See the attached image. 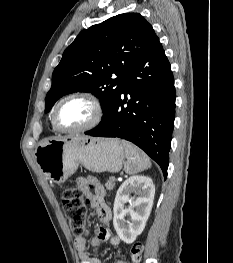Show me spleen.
I'll return each mask as SVG.
<instances>
[{
    "mask_svg": "<svg viewBox=\"0 0 233 263\" xmlns=\"http://www.w3.org/2000/svg\"><path fill=\"white\" fill-rule=\"evenodd\" d=\"M123 145L127 159L124 170L127 174H136L151 167L150 159L142 150L127 141H123Z\"/></svg>",
    "mask_w": 233,
    "mask_h": 263,
    "instance_id": "1",
    "label": "spleen"
}]
</instances>
